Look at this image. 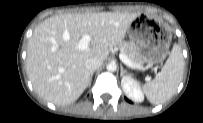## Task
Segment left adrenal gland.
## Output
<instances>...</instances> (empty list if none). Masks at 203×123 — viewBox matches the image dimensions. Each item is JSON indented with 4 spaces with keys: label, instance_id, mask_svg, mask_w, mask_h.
<instances>
[{
    "label": "left adrenal gland",
    "instance_id": "left-adrenal-gland-1",
    "mask_svg": "<svg viewBox=\"0 0 203 123\" xmlns=\"http://www.w3.org/2000/svg\"><path fill=\"white\" fill-rule=\"evenodd\" d=\"M120 76H123V74L126 72V70L123 68L122 64L120 65Z\"/></svg>",
    "mask_w": 203,
    "mask_h": 123
}]
</instances>
